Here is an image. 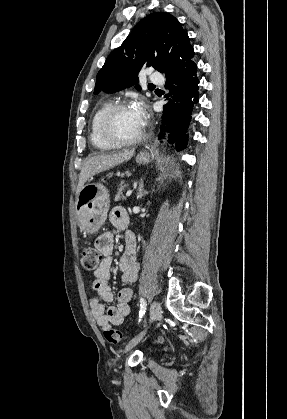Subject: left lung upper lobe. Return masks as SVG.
I'll return each instance as SVG.
<instances>
[{
	"instance_id": "5c2ea615",
	"label": "left lung upper lobe",
	"mask_w": 287,
	"mask_h": 419,
	"mask_svg": "<svg viewBox=\"0 0 287 419\" xmlns=\"http://www.w3.org/2000/svg\"><path fill=\"white\" fill-rule=\"evenodd\" d=\"M194 50L180 22L165 12L142 19L136 28L106 59L96 79L94 94L120 91L136 85L138 72L152 66L168 76L191 61Z\"/></svg>"
}]
</instances>
